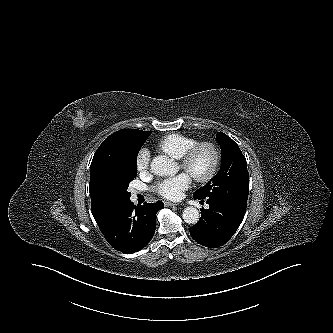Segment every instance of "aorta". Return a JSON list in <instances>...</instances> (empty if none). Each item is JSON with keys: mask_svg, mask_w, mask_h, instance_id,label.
<instances>
[{"mask_svg": "<svg viewBox=\"0 0 333 333\" xmlns=\"http://www.w3.org/2000/svg\"><path fill=\"white\" fill-rule=\"evenodd\" d=\"M151 171L158 176L174 175L178 172V165L165 155L153 158ZM183 220L188 224H196L199 220V211L195 207H186L182 212Z\"/></svg>", "mask_w": 333, "mask_h": 333, "instance_id": "obj_1", "label": "aorta"}]
</instances>
